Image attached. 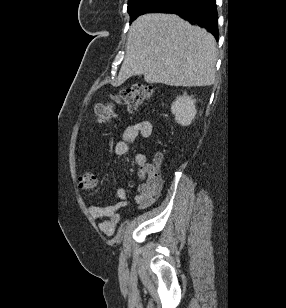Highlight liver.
Here are the masks:
<instances>
[{"label": "liver", "mask_w": 286, "mask_h": 308, "mask_svg": "<svg viewBox=\"0 0 286 308\" xmlns=\"http://www.w3.org/2000/svg\"><path fill=\"white\" fill-rule=\"evenodd\" d=\"M214 37L177 15L139 16L128 33L126 52L115 85L143 75L147 83L200 87L215 81Z\"/></svg>", "instance_id": "liver-1"}]
</instances>
